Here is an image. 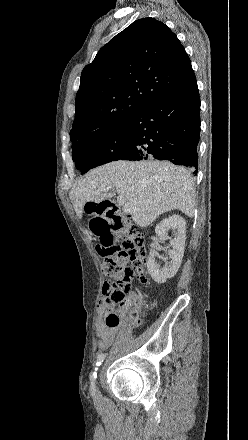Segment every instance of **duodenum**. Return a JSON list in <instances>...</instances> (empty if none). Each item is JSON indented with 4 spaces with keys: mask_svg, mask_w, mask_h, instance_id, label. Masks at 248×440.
Instances as JSON below:
<instances>
[{
    "mask_svg": "<svg viewBox=\"0 0 248 440\" xmlns=\"http://www.w3.org/2000/svg\"><path fill=\"white\" fill-rule=\"evenodd\" d=\"M101 204L107 209L114 208L115 204L112 201H103Z\"/></svg>",
    "mask_w": 248,
    "mask_h": 440,
    "instance_id": "duodenum-1",
    "label": "duodenum"
}]
</instances>
